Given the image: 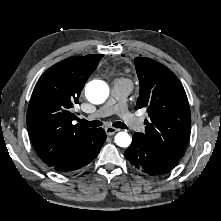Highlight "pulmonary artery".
<instances>
[{
	"instance_id": "e3ab8cb5",
	"label": "pulmonary artery",
	"mask_w": 221,
	"mask_h": 221,
	"mask_svg": "<svg viewBox=\"0 0 221 221\" xmlns=\"http://www.w3.org/2000/svg\"><path fill=\"white\" fill-rule=\"evenodd\" d=\"M131 91L132 85L129 81L115 80L112 85L110 99L89 118H101L116 113L126 126L136 132H141L144 129L142 120L131 114L126 104V97Z\"/></svg>"
}]
</instances>
